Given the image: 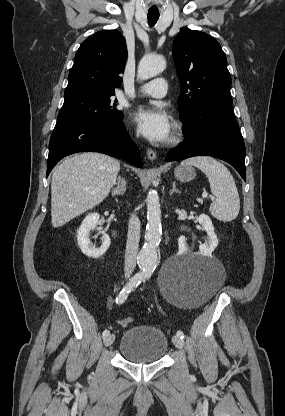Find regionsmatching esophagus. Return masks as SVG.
Segmentation results:
<instances>
[{
    "mask_svg": "<svg viewBox=\"0 0 285 416\" xmlns=\"http://www.w3.org/2000/svg\"><path fill=\"white\" fill-rule=\"evenodd\" d=\"M147 157L149 160H155L156 159V152L154 150L148 149L147 150Z\"/></svg>",
    "mask_w": 285,
    "mask_h": 416,
    "instance_id": "esophagus-1",
    "label": "esophagus"
}]
</instances>
